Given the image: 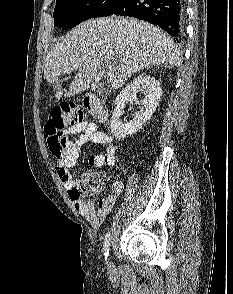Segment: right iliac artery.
Masks as SVG:
<instances>
[{"mask_svg": "<svg viewBox=\"0 0 233 294\" xmlns=\"http://www.w3.org/2000/svg\"><path fill=\"white\" fill-rule=\"evenodd\" d=\"M110 239H111L110 233L107 232L105 235V240L103 245V252H104L105 259H107L109 255Z\"/></svg>", "mask_w": 233, "mask_h": 294, "instance_id": "1", "label": "right iliac artery"}]
</instances>
